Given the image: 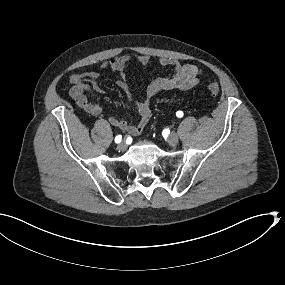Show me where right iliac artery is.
Returning <instances> with one entry per match:
<instances>
[{"label":"right iliac artery","mask_w":285,"mask_h":285,"mask_svg":"<svg viewBox=\"0 0 285 285\" xmlns=\"http://www.w3.org/2000/svg\"><path fill=\"white\" fill-rule=\"evenodd\" d=\"M121 139H122V136L121 135H118L115 137V142L116 143H120L121 142Z\"/></svg>","instance_id":"right-iliac-artery-1"}]
</instances>
